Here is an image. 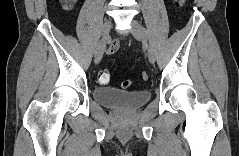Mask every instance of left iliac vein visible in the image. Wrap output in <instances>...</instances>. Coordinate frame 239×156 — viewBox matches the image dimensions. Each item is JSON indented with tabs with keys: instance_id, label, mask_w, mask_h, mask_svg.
<instances>
[{
	"instance_id": "obj_1",
	"label": "left iliac vein",
	"mask_w": 239,
	"mask_h": 156,
	"mask_svg": "<svg viewBox=\"0 0 239 156\" xmlns=\"http://www.w3.org/2000/svg\"><path fill=\"white\" fill-rule=\"evenodd\" d=\"M131 25H132V28H131L132 35L137 40L142 41L145 44V46L147 48L148 59H149L151 64H154L155 63V53H154V50L146 42V38H145V33H144V30H143V27L136 20H133Z\"/></svg>"
}]
</instances>
